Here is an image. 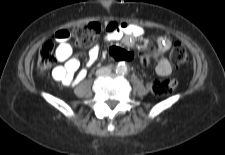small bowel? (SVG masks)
Listing matches in <instances>:
<instances>
[{
  "mask_svg": "<svg viewBox=\"0 0 225 155\" xmlns=\"http://www.w3.org/2000/svg\"><path fill=\"white\" fill-rule=\"evenodd\" d=\"M107 39L108 40H122L127 46H134L136 40L144 35V29L138 25L131 23H118L110 21L106 24ZM54 40L58 45L56 50V58L63 62L54 68L52 72L53 78L64 85H73L85 79L87 71L85 69L79 70V61L71 57L72 47L69 44L72 40V33L66 27L57 29L54 33ZM156 45L160 53V60L156 66V72L160 76H168L172 72L171 63L167 57V53L171 47V40L166 36H158L156 38ZM99 55V46L95 45L89 51V62L91 65Z\"/></svg>",
  "mask_w": 225,
  "mask_h": 155,
  "instance_id": "1",
  "label": "small bowel"
}]
</instances>
